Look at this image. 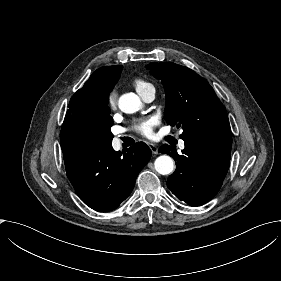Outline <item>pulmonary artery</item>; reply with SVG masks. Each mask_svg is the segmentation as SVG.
Wrapping results in <instances>:
<instances>
[{
  "label": "pulmonary artery",
  "instance_id": "1",
  "mask_svg": "<svg viewBox=\"0 0 281 281\" xmlns=\"http://www.w3.org/2000/svg\"><path fill=\"white\" fill-rule=\"evenodd\" d=\"M154 98H155V92H154L153 89H148V90L146 91V93L144 94V96H143V100H144L145 102H147V103L152 102V101L154 100ZM179 146H180L181 148H183V147H184V142L181 141V142L179 143ZM120 149H121L120 143L117 142V141L114 142V143H113V150H114L115 152H118Z\"/></svg>",
  "mask_w": 281,
  "mask_h": 281
}]
</instances>
